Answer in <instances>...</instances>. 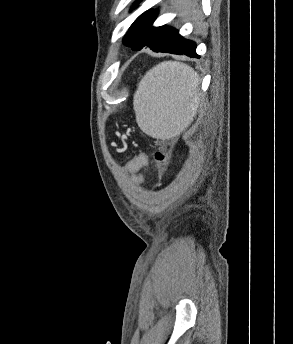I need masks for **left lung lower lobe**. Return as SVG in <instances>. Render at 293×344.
Returning <instances> with one entry per match:
<instances>
[{
    "instance_id": "1",
    "label": "left lung lower lobe",
    "mask_w": 293,
    "mask_h": 344,
    "mask_svg": "<svg viewBox=\"0 0 293 344\" xmlns=\"http://www.w3.org/2000/svg\"><path fill=\"white\" fill-rule=\"evenodd\" d=\"M155 52H167L172 54H184L189 57L199 58L196 54V44L193 41L183 38L179 32L165 44L149 46Z\"/></svg>"
}]
</instances>
